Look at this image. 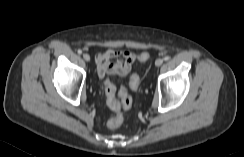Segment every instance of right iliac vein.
Returning <instances> with one entry per match:
<instances>
[{
    "label": "right iliac vein",
    "mask_w": 244,
    "mask_h": 157,
    "mask_svg": "<svg viewBox=\"0 0 244 157\" xmlns=\"http://www.w3.org/2000/svg\"><path fill=\"white\" fill-rule=\"evenodd\" d=\"M83 58H84V60L85 61H90V56H89V54H87V53H85V54H83Z\"/></svg>",
    "instance_id": "right-iliac-vein-1"
}]
</instances>
